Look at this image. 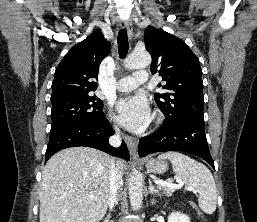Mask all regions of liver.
Returning a JSON list of instances; mask_svg holds the SVG:
<instances>
[{
  "label": "liver",
  "mask_w": 257,
  "mask_h": 222,
  "mask_svg": "<svg viewBox=\"0 0 257 222\" xmlns=\"http://www.w3.org/2000/svg\"><path fill=\"white\" fill-rule=\"evenodd\" d=\"M109 155L89 147H72L53 155L40 184V222H99L108 208ZM116 166L121 175L124 161ZM94 196V199H90Z\"/></svg>",
  "instance_id": "obj_1"
}]
</instances>
